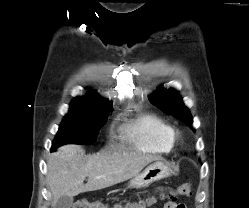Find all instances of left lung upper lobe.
I'll list each match as a JSON object with an SVG mask.
<instances>
[{
  "mask_svg": "<svg viewBox=\"0 0 249 208\" xmlns=\"http://www.w3.org/2000/svg\"><path fill=\"white\" fill-rule=\"evenodd\" d=\"M149 100L164 112H168L179 120L192 125L193 120L191 114L184 106L177 91L173 89H159L149 96Z\"/></svg>",
  "mask_w": 249,
  "mask_h": 208,
  "instance_id": "5c2ea615",
  "label": "left lung upper lobe"
}]
</instances>
